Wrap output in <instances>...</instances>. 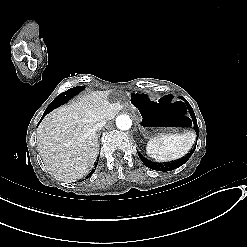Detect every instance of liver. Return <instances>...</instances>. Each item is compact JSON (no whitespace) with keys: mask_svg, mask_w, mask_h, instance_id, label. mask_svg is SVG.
Instances as JSON below:
<instances>
[{"mask_svg":"<svg viewBox=\"0 0 247 247\" xmlns=\"http://www.w3.org/2000/svg\"><path fill=\"white\" fill-rule=\"evenodd\" d=\"M122 109L109 91H102L87 93L45 116L37 129V147L50 175L65 182L86 175L98 155L95 125L102 120L108 123Z\"/></svg>","mask_w":247,"mask_h":247,"instance_id":"6515ba94","label":"liver"}]
</instances>
